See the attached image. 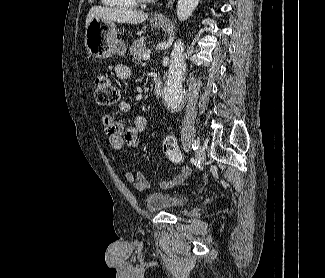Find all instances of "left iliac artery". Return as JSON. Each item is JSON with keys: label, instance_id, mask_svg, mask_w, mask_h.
<instances>
[{"label": "left iliac artery", "instance_id": "1", "mask_svg": "<svg viewBox=\"0 0 325 278\" xmlns=\"http://www.w3.org/2000/svg\"><path fill=\"white\" fill-rule=\"evenodd\" d=\"M198 146H199V141L198 140H194L192 142V149L193 150H196V149H198Z\"/></svg>", "mask_w": 325, "mask_h": 278}]
</instances>
